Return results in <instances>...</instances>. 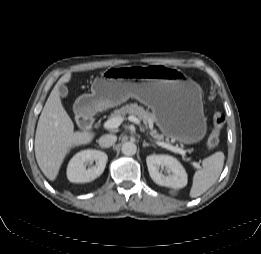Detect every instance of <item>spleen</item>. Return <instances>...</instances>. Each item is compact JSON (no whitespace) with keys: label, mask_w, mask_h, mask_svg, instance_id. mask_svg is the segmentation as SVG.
I'll use <instances>...</instances> for the list:
<instances>
[{"label":"spleen","mask_w":261,"mask_h":254,"mask_svg":"<svg viewBox=\"0 0 261 254\" xmlns=\"http://www.w3.org/2000/svg\"><path fill=\"white\" fill-rule=\"evenodd\" d=\"M224 158L223 152H216L202 161V169L193 176L190 197L202 195L217 181L223 169Z\"/></svg>","instance_id":"3e777b00"}]
</instances>
